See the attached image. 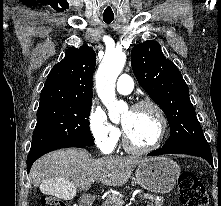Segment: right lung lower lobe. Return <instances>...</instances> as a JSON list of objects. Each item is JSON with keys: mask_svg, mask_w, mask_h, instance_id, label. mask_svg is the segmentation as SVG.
<instances>
[{"mask_svg": "<svg viewBox=\"0 0 221 206\" xmlns=\"http://www.w3.org/2000/svg\"><path fill=\"white\" fill-rule=\"evenodd\" d=\"M89 145L86 144H79V143H69V144H63V145H58V146H53V147H49V148H45L42 150H38L35 152H30L28 154V158H27V172H30L31 166L33 164L34 161H36L39 157H41L42 155L56 150V149H61V148H67V147H86Z\"/></svg>", "mask_w": 221, "mask_h": 206, "instance_id": "right-lung-lower-lobe-1", "label": "right lung lower lobe"}]
</instances>
